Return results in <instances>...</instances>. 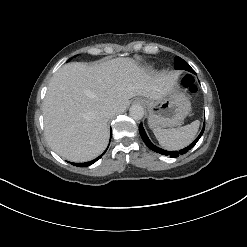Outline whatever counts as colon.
Here are the masks:
<instances>
[{
    "label": "colon",
    "mask_w": 247,
    "mask_h": 247,
    "mask_svg": "<svg viewBox=\"0 0 247 247\" xmlns=\"http://www.w3.org/2000/svg\"><path fill=\"white\" fill-rule=\"evenodd\" d=\"M182 84L183 86L190 92V93H196L198 88L195 84V81L194 79L189 76V75H186V76H183L182 77Z\"/></svg>",
    "instance_id": "colon-1"
}]
</instances>
